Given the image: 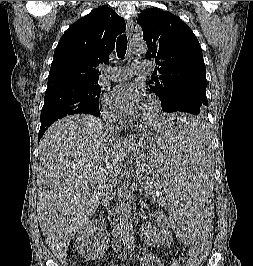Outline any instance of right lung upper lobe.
I'll use <instances>...</instances> for the list:
<instances>
[{"label":"right lung upper lobe","instance_id":"1","mask_svg":"<svg viewBox=\"0 0 253 266\" xmlns=\"http://www.w3.org/2000/svg\"><path fill=\"white\" fill-rule=\"evenodd\" d=\"M123 18L109 7H99L73 23L54 52L47 90L73 84L97 83V66L108 63L117 35L125 31Z\"/></svg>","mask_w":253,"mask_h":266}]
</instances>
